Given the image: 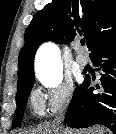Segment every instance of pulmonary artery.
<instances>
[{
  "mask_svg": "<svg viewBox=\"0 0 116 134\" xmlns=\"http://www.w3.org/2000/svg\"><path fill=\"white\" fill-rule=\"evenodd\" d=\"M75 50L77 51L76 61L79 66L85 67L89 63V59L87 56L83 55L81 51V45L79 43H76Z\"/></svg>",
  "mask_w": 116,
  "mask_h": 134,
  "instance_id": "pulmonary-artery-1",
  "label": "pulmonary artery"
}]
</instances>
